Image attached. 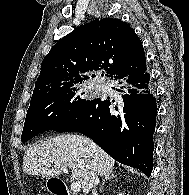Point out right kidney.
<instances>
[{
  "label": "right kidney",
  "mask_w": 189,
  "mask_h": 195,
  "mask_svg": "<svg viewBox=\"0 0 189 195\" xmlns=\"http://www.w3.org/2000/svg\"><path fill=\"white\" fill-rule=\"evenodd\" d=\"M118 195H123V193H119Z\"/></svg>",
  "instance_id": "right-kidney-1"
}]
</instances>
